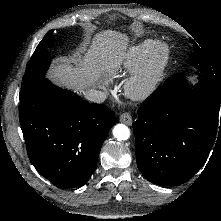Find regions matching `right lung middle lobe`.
Wrapping results in <instances>:
<instances>
[{"instance_id":"right-lung-middle-lobe-1","label":"right lung middle lobe","mask_w":221,"mask_h":221,"mask_svg":"<svg viewBox=\"0 0 221 221\" xmlns=\"http://www.w3.org/2000/svg\"><path fill=\"white\" fill-rule=\"evenodd\" d=\"M53 43V30L49 31L37 46L30 61L27 63L26 72L19 97L22 98L37 83L45 77L49 67L48 48Z\"/></svg>"}]
</instances>
